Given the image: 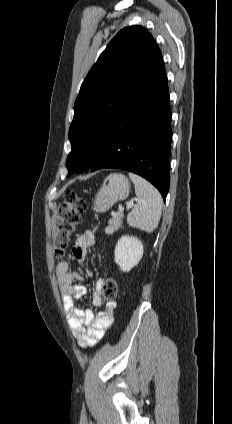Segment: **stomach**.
<instances>
[{"mask_svg": "<svg viewBox=\"0 0 232 424\" xmlns=\"http://www.w3.org/2000/svg\"><path fill=\"white\" fill-rule=\"evenodd\" d=\"M130 191V182L120 173H112L106 177L94 199L93 210L98 213L108 211L115 203L125 200Z\"/></svg>", "mask_w": 232, "mask_h": 424, "instance_id": "stomach-1", "label": "stomach"}]
</instances>
